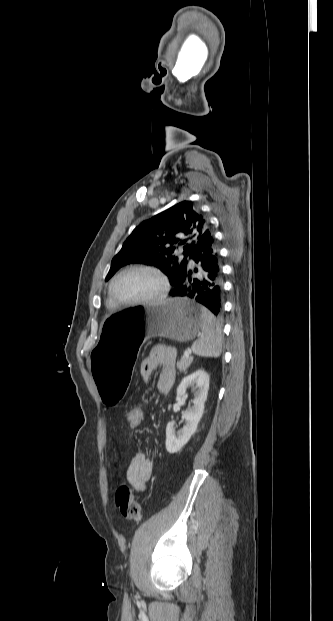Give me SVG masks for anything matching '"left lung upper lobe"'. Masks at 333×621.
Wrapping results in <instances>:
<instances>
[{
    "label": "left lung upper lobe",
    "instance_id": "obj_1",
    "mask_svg": "<svg viewBox=\"0 0 333 621\" xmlns=\"http://www.w3.org/2000/svg\"><path fill=\"white\" fill-rule=\"evenodd\" d=\"M208 228L207 219L191 201L172 206L133 230L112 259L105 280L108 281L126 264L140 263L159 268L174 286L179 273L186 268L188 256L196 242ZM179 247L184 249L183 258L174 255Z\"/></svg>",
    "mask_w": 333,
    "mask_h": 621
}]
</instances>
